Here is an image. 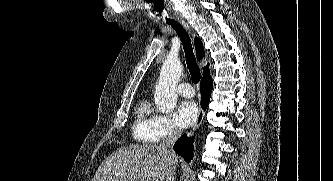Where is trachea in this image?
I'll return each mask as SVG.
<instances>
[{
	"label": "trachea",
	"instance_id": "trachea-1",
	"mask_svg": "<svg viewBox=\"0 0 333 181\" xmlns=\"http://www.w3.org/2000/svg\"><path fill=\"white\" fill-rule=\"evenodd\" d=\"M167 24L171 25L178 33L185 51L186 63L191 74V78L193 82L197 84L200 80V70L196 63L190 37L185 31V29L178 22L170 20L167 21Z\"/></svg>",
	"mask_w": 333,
	"mask_h": 181
}]
</instances>
